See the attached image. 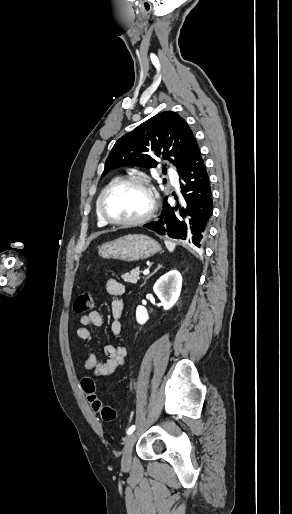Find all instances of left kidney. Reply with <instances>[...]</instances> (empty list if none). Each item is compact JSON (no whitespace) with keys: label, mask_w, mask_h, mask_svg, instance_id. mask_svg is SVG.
<instances>
[{"label":"left kidney","mask_w":292,"mask_h":514,"mask_svg":"<svg viewBox=\"0 0 292 514\" xmlns=\"http://www.w3.org/2000/svg\"><path fill=\"white\" fill-rule=\"evenodd\" d=\"M182 288V276L178 270H171L161 276L154 284V292L158 296L164 310H170L176 304ZM136 320L138 324H145L149 320L148 312L144 306H137Z\"/></svg>","instance_id":"1"}]
</instances>
